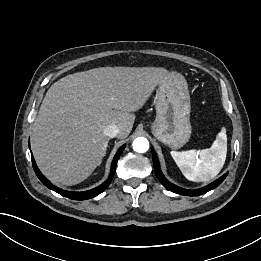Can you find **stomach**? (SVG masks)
Returning a JSON list of instances; mask_svg holds the SVG:
<instances>
[{
	"instance_id": "stomach-1",
	"label": "stomach",
	"mask_w": 261,
	"mask_h": 261,
	"mask_svg": "<svg viewBox=\"0 0 261 261\" xmlns=\"http://www.w3.org/2000/svg\"><path fill=\"white\" fill-rule=\"evenodd\" d=\"M153 135L171 149L184 146L191 136L190 96L185 78L179 73L158 85Z\"/></svg>"
}]
</instances>
